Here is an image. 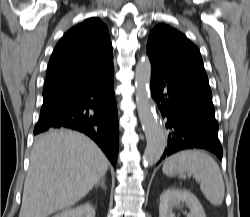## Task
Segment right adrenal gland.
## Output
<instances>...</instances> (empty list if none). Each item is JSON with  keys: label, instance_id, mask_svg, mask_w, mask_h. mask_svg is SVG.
Listing matches in <instances>:
<instances>
[{"label": "right adrenal gland", "instance_id": "right-adrenal-gland-1", "mask_svg": "<svg viewBox=\"0 0 250 217\" xmlns=\"http://www.w3.org/2000/svg\"><path fill=\"white\" fill-rule=\"evenodd\" d=\"M97 186H101L103 189H107L106 185H105V178H102L101 181L96 185Z\"/></svg>", "mask_w": 250, "mask_h": 217}]
</instances>
